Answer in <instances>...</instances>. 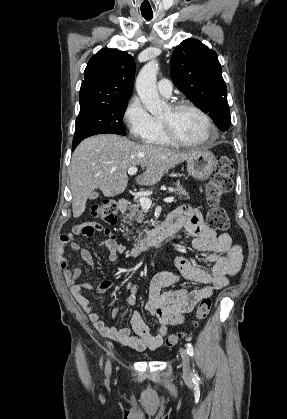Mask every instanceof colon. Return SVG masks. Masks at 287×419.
I'll use <instances>...</instances> for the list:
<instances>
[{
  "instance_id": "5ec220e1",
  "label": "colon",
  "mask_w": 287,
  "mask_h": 419,
  "mask_svg": "<svg viewBox=\"0 0 287 419\" xmlns=\"http://www.w3.org/2000/svg\"><path fill=\"white\" fill-rule=\"evenodd\" d=\"M233 163L230 157L220 156L217 158L215 173L206 186V199L209 205L208 223L212 229L226 230L229 227V219L223 208L219 206L222 195L232 189ZM93 215L105 223L114 224L117 220V204L111 198H105L93 208ZM212 307V301L204 298L199 302L196 310V319H205ZM184 338L182 332L168 335L164 340V346L170 348Z\"/></svg>"
}]
</instances>
